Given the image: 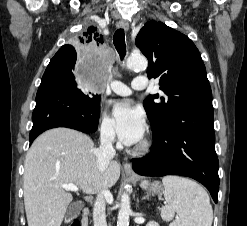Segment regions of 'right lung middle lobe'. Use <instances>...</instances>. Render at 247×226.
Returning <instances> with one entry per match:
<instances>
[{
	"label": "right lung middle lobe",
	"instance_id": "dd1d6c3e",
	"mask_svg": "<svg viewBox=\"0 0 247 226\" xmlns=\"http://www.w3.org/2000/svg\"><path fill=\"white\" fill-rule=\"evenodd\" d=\"M77 54L69 55V56H61L57 59L55 63V67L60 68L66 75L72 80L75 81L74 77V66L76 63ZM84 94V93H83ZM87 99L92 102L94 105L98 106L100 104V95L98 94H87L85 93Z\"/></svg>",
	"mask_w": 247,
	"mask_h": 226
}]
</instances>
